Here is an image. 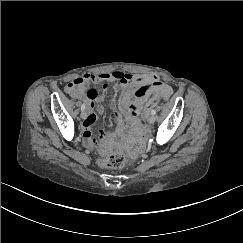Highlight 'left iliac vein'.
<instances>
[{
  "label": "left iliac vein",
  "mask_w": 243,
  "mask_h": 243,
  "mask_svg": "<svg viewBox=\"0 0 243 243\" xmlns=\"http://www.w3.org/2000/svg\"><path fill=\"white\" fill-rule=\"evenodd\" d=\"M155 120H156V117L154 115H152L148 118V123L153 124L155 122Z\"/></svg>",
  "instance_id": "4c4485c4"
}]
</instances>
